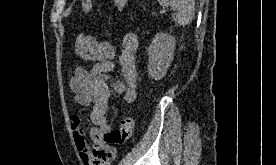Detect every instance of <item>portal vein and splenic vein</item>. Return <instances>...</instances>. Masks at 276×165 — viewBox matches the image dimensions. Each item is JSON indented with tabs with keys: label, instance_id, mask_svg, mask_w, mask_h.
Segmentation results:
<instances>
[{
	"label": "portal vein and splenic vein",
	"instance_id": "portal-vein-and-splenic-vein-1",
	"mask_svg": "<svg viewBox=\"0 0 276 165\" xmlns=\"http://www.w3.org/2000/svg\"><path fill=\"white\" fill-rule=\"evenodd\" d=\"M166 12V9L165 7H163L161 10H160V13H165Z\"/></svg>",
	"mask_w": 276,
	"mask_h": 165
}]
</instances>
